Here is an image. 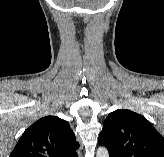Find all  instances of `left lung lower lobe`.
<instances>
[{"label": "left lung lower lobe", "instance_id": "1", "mask_svg": "<svg viewBox=\"0 0 164 157\" xmlns=\"http://www.w3.org/2000/svg\"><path fill=\"white\" fill-rule=\"evenodd\" d=\"M110 157H114V155L113 154H110Z\"/></svg>", "mask_w": 164, "mask_h": 157}]
</instances>
